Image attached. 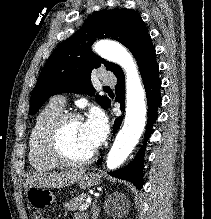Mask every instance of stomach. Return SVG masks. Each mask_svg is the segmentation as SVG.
Wrapping results in <instances>:
<instances>
[{"label":"stomach","instance_id":"1","mask_svg":"<svg viewBox=\"0 0 211 219\" xmlns=\"http://www.w3.org/2000/svg\"><path fill=\"white\" fill-rule=\"evenodd\" d=\"M101 180V175L94 172L83 174L78 180V186L81 189H87L98 185ZM27 201L36 209H45L55 202L54 194L47 188L29 187L26 191Z\"/></svg>","mask_w":211,"mask_h":219}]
</instances>
